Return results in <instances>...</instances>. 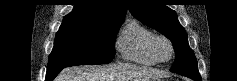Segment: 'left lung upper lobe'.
<instances>
[{"instance_id": "left-lung-upper-lobe-1", "label": "left lung upper lobe", "mask_w": 237, "mask_h": 81, "mask_svg": "<svg viewBox=\"0 0 237 81\" xmlns=\"http://www.w3.org/2000/svg\"><path fill=\"white\" fill-rule=\"evenodd\" d=\"M128 7L134 17L156 29L173 43L176 61L170 71L201 78L196 57L188 44L186 31L180 25L174 10L166 7L162 0H128Z\"/></svg>"}]
</instances>
